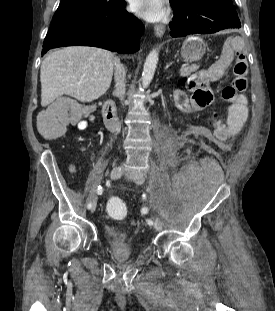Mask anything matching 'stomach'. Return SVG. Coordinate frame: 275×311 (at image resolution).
<instances>
[{
	"label": "stomach",
	"mask_w": 275,
	"mask_h": 311,
	"mask_svg": "<svg viewBox=\"0 0 275 311\" xmlns=\"http://www.w3.org/2000/svg\"><path fill=\"white\" fill-rule=\"evenodd\" d=\"M206 51L205 43L198 37H189L182 46L181 55L185 61H196L202 58Z\"/></svg>",
	"instance_id": "1"
}]
</instances>
